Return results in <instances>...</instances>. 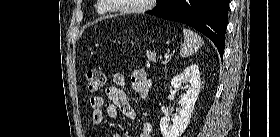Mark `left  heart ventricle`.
<instances>
[{
	"instance_id": "b2bd125f",
	"label": "left heart ventricle",
	"mask_w": 280,
	"mask_h": 137,
	"mask_svg": "<svg viewBox=\"0 0 280 137\" xmlns=\"http://www.w3.org/2000/svg\"><path fill=\"white\" fill-rule=\"evenodd\" d=\"M141 4V0H118V5L125 7V6H136Z\"/></svg>"
}]
</instances>
